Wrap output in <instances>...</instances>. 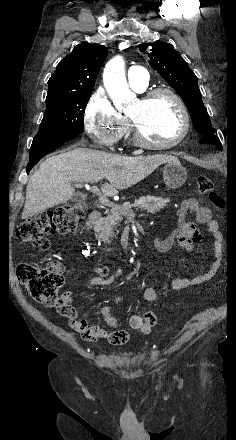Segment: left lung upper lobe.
Segmentation results:
<instances>
[{
	"label": "left lung upper lobe",
	"instance_id": "1",
	"mask_svg": "<svg viewBox=\"0 0 236 440\" xmlns=\"http://www.w3.org/2000/svg\"><path fill=\"white\" fill-rule=\"evenodd\" d=\"M139 50L148 53L149 64L181 96L190 112L196 131L202 136L213 134L214 131L202 102L196 75L173 46L158 41L141 44Z\"/></svg>",
	"mask_w": 236,
	"mask_h": 440
}]
</instances>
